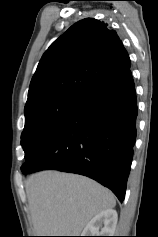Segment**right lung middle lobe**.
Listing matches in <instances>:
<instances>
[{
  "instance_id": "1",
  "label": "right lung middle lobe",
  "mask_w": 158,
  "mask_h": 237,
  "mask_svg": "<svg viewBox=\"0 0 158 237\" xmlns=\"http://www.w3.org/2000/svg\"><path fill=\"white\" fill-rule=\"evenodd\" d=\"M84 101L69 97L50 98L25 109V127L21 145L25 151L24 170L45 139Z\"/></svg>"
}]
</instances>
